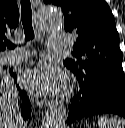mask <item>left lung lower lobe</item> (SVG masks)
Here are the masks:
<instances>
[{
  "label": "left lung lower lobe",
  "mask_w": 125,
  "mask_h": 128,
  "mask_svg": "<svg viewBox=\"0 0 125 128\" xmlns=\"http://www.w3.org/2000/svg\"><path fill=\"white\" fill-rule=\"evenodd\" d=\"M74 74L79 81L80 90L69 104L67 124L103 113H113L125 118L124 74H113L93 84L85 82L78 73Z\"/></svg>",
  "instance_id": "obj_1"
}]
</instances>
